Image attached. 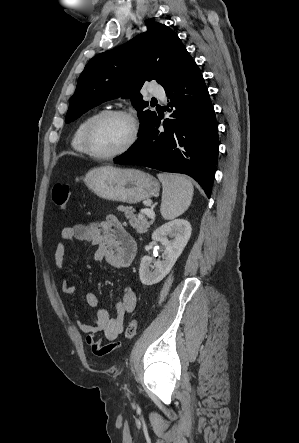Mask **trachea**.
Masks as SVG:
<instances>
[{
  "instance_id": "obj_1",
  "label": "trachea",
  "mask_w": 299,
  "mask_h": 443,
  "mask_svg": "<svg viewBox=\"0 0 299 443\" xmlns=\"http://www.w3.org/2000/svg\"><path fill=\"white\" fill-rule=\"evenodd\" d=\"M153 102H157V100H156V99H153Z\"/></svg>"
}]
</instances>
